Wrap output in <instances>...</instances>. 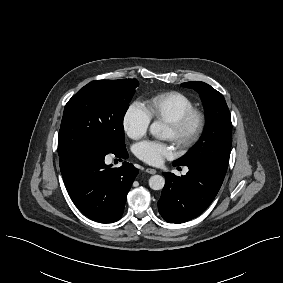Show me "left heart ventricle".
<instances>
[{
  "label": "left heart ventricle",
  "instance_id": "left-heart-ventricle-1",
  "mask_svg": "<svg viewBox=\"0 0 283 283\" xmlns=\"http://www.w3.org/2000/svg\"><path fill=\"white\" fill-rule=\"evenodd\" d=\"M165 137L166 138H171L172 137V130L170 129L169 126L166 127Z\"/></svg>",
  "mask_w": 283,
  "mask_h": 283
}]
</instances>
